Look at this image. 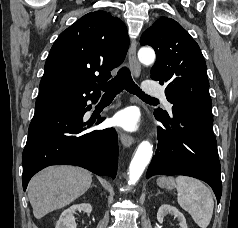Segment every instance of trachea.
<instances>
[{
    "label": "trachea",
    "mask_w": 238,
    "mask_h": 228,
    "mask_svg": "<svg viewBox=\"0 0 238 228\" xmlns=\"http://www.w3.org/2000/svg\"><path fill=\"white\" fill-rule=\"evenodd\" d=\"M99 88L105 92V95H117L124 89L129 93L135 94L141 99L145 100H156L153 97H150L134 83L131 72L127 67H123L117 73V76L109 82L99 84Z\"/></svg>",
    "instance_id": "1"
}]
</instances>
